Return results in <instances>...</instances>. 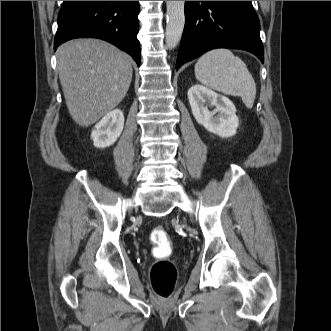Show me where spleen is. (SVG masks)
I'll return each mask as SVG.
<instances>
[{
  "mask_svg": "<svg viewBox=\"0 0 331 331\" xmlns=\"http://www.w3.org/2000/svg\"><path fill=\"white\" fill-rule=\"evenodd\" d=\"M195 76L216 91L240 96L248 109L253 107L255 81L246 64L230 50L219 48L203 54L195 64Z\"/></svg>",
  "mask_w": 331,
  "mask_h": 331,
  "instance_id": "obj_1",
  "label": "spleen"
}]
</instances>
